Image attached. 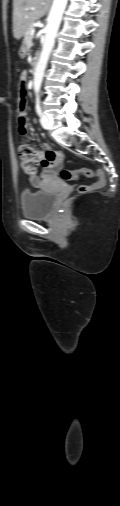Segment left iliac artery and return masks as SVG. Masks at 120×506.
<instances>
[{
  "label": "left iliac artery",
  "mask_w": 120,
  "mask_h": 506,
  "mask_svg": "<svg viewBox=\"0 0 120 506\" xmlns=\"http://www.w3.org/2000/svg\"><path fill=\"white\" fill-rule=\"evenodd\" d=\"M36 112L39 116L42 115V109L40 107L39 95L36 96Z\"/></svg>",
  "instance_id": "obj_1"
}]
</instances>
